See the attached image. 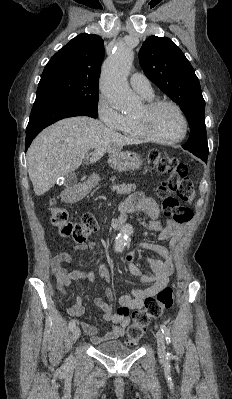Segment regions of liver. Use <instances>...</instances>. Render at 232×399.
I'll use <instances>...</instances> for the list:
<instances>
[{
	"mask_svg": "<svg viewBox=\"0 0 232 399\" xmlns=\"http://www.w3.org/2000/svg\"><path fill=\"white\" fill-rule=\"evenodd\" d=\"M130 144H138V140L122 136L93 118L56 122L33 140L27 152L28 174L36 196L53 188L58 178L77 170L81 154L93 150L90 162H98L104 154H116Z\"/></svg>",
	"mask_w": 232,
	"mask_h": 399,
	"instance_id": "6515ba94",
	"label": "liver"
}]
</instances>
